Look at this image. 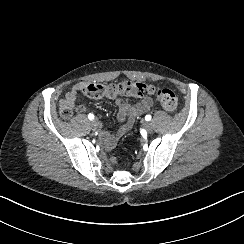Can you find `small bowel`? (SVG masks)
I'll use <instances>...</instances> for the list:
<instances>
[{"mask_svg": "<svg viewBox=\"0 0 244 244\" xmlns=\"http://www.w3.org/2000/svg\"><path fill=\"white\" fill-rule=\"evenodd\" d=\"M84 83L78 82L72 86L69 92H67L64 101L71 108H75L76 112L80 115L86 113V106L80 104L76 105V98L82 91ZM153 102L150 98H144L136 103H130L125 98H116L115 105L119 110L118 118L123 125L116 132V136L121 137L133 126L134 120L137 116L146 113L152 106ZM110 142L112 139L109 140Z\"/></svg>", "mask_w": 244, "mask_h": 244, "instance_id": "1", "label": "small bowel"}]
</instances>
